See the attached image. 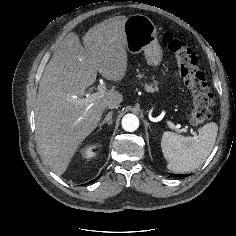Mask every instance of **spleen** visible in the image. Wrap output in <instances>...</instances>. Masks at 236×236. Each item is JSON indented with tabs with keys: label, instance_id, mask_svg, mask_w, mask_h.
<instances>
[{
	"label": "spleen",
	"instance_id": "3e777b00",
	"mask_svg": "<svg viewBox=\"0 0 236 236\" xmlns=\"http://www.w3.org/2000/svg\"><path fill=\"white\" fill-rule=\"evenodd\" d=\"M218 126L210 122L198 129V136L184 137L165 131L161 138V149L171 171L184 173L200 167L211 153Z\"/></svg>",
	"mask_w": 236,
	"mask_h": 236
}]
</instances>
